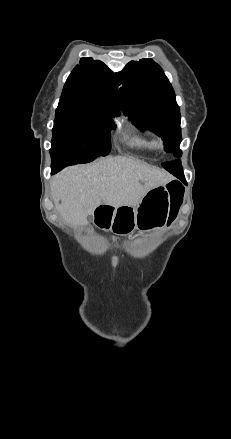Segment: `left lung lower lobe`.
Wrapping results in <instances>:
<instances>
[{"label": "left lung lower lobe", "instance_id": "1", "mask_svg": "<svg viewBox=\"0 0 231 439\" xmlns=\"http://www.w3.org/2000/svg\"><path fill=\"white\" fill-rule=\"evenodd\" d=\"M169 163H171L170 166L166 165L165 168L168 171L173 172L174 174L178 175L180 179H184L183 170H182L180 161L175 160V161H171ZM175 169H176V171H175Z\"/></svg>", "mask_w": 231, "mask_h": 439}]
</instances>
